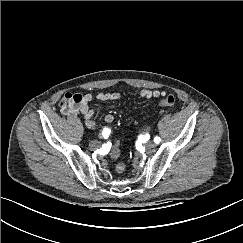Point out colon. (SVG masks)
<instances>
[{"label":"colon","mask_w":243,"mask_h":243,"mask_svg":"<svg viewBox=\"0 0 243 243\" xmlns=\"http://www.w3.org/2000/svg\"><path fill=\"white\" fill-rule=\"evenodd\" d=\"M84 96L81 94H65L60 103L59 107L64 114H72L78 110L80 105L82 104ZM176 97L174 95H167L161 101L160 105L164 107H171L176 104ZM111 157L116 160L115 163V171L117 173H123L126 169L125 162L120 159L121 150H120V143L116 142L113 147L111 148Z\"/></svg>","instance_id":"1"}]
</instances>
